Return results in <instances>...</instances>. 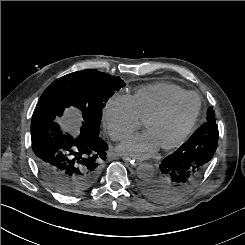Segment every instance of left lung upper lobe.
I'll list each match as a JSON object with an SVG mask.
<instances>
[{
    "label": "left lung upper lobe",
    "mask_w": 245,
    "mask_h": 245,
    "mask_svg": "<svg viewBox=\"0 0 245 245\" xmlns=\"http://www.w3.org/2000/svg\"><path fill=\"white\" fill-rule=\"evenodd\" d=\"M206 122L216 123L215 112L213 111L212 107H209V109L207 111Z\"/></svg>",
    "instance_id": "obj_1"
}]
</instances>
